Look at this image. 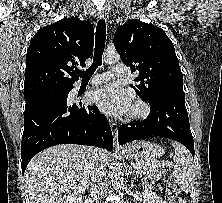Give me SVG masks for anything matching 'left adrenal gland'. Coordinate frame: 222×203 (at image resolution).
<instances>
[{"label": "left adrenal gland", "instance_id": "1", "mask_svg": "<svg viewBox=\"0 0 222 203\" xmlns=\"http://www.w3.org/2000/svg\"><path fill=\"white\" fill-rule=\"evenodd\" d=\"M127 169H128V171H127L128 174L132 173L133 175L138 176V172L136 170H133L131 166L128 165Z\"/></svg>", "mask_w": 222, "mask_h": 203}]
</instances>
